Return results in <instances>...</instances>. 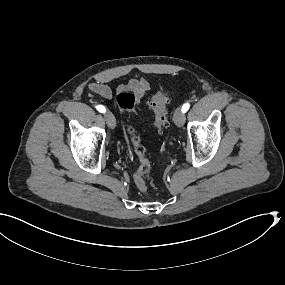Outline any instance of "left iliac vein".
I'll return each mask as SVG.
<instances>
[{
  "mask_svg": "<svg viewBox=\"0 0 285 285\" xmlns=\"http://www.w3.org/2000/svg\"><path fill=\"white\" fill-rule=\"evenodd\" d=\"M185 115L181 108H177L174 112V122L177 126L181 127L185 123Z\"/></svg>",
  "mask_w": 285,
  "mask_h": 285,
  "instance_id": "4c4485c4",
  "label": "left iliac vein"
}]
</instances>
